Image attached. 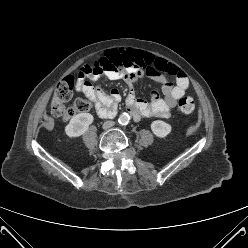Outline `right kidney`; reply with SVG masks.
<instances>
[{"instance_id": "ca27d5eb", "label": "right kidney", "mask_w": 248, "mask_h": 248, "mask_svg": "<svg viewBox=\"0 0 248 248\" xmlns=\"http://www.w3.org/2000/svg\"><path fill=\"white\" fill-rule=\"evenodd\" d=\"M94 117L90 113H80L72 117L69 124L65 127V133L69 137H78L84 134L89 125L92 124Z\"/></svg>"}]
</instances>
